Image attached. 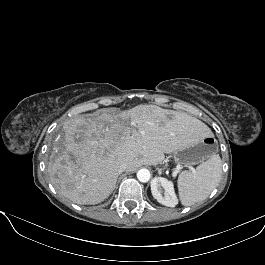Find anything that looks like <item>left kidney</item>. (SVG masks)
Returning a JSON list of instances; mask_svg holds the SVG:
<instances>
[{"label": "left kidney", "instance_id": "1", "mask_svg": "<svg viewBox=\"0 0 265 265\" xmlns=\"http://www.w3.org/2000/svg\"><path fill=\"white\" fill-rule=\"evenodd\" d=\"M162 189H164V196L161 193ZM151 192L153 197L162 205L175 207L178 204L174 185L166 178L155 177L151 182Z\"/></svg>", "mask_w": 265, "mask_h": 265}]
</instances>
